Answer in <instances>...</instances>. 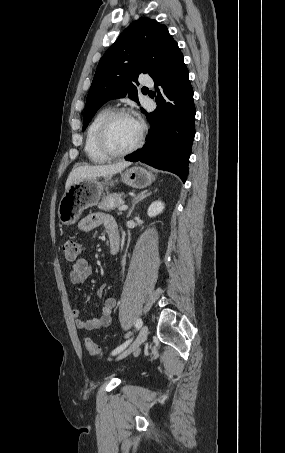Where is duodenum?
I'll return each instance as SVG.
<instances>
[{
    "instance_id": "1",
    "label": "duodenum",
    "mask_w": 285,
    "mask_h": 453,
    "mask_svg": "<svg viewBox=\"0 0 285 453\" xmlns=\"http://www.w3.org/2000/svg\"><path fill=\"white\" fill-rule=\"evenodd\" d=\"M120 242L118 240L110 241V253L115 255L119 250Z\"/></svg>"
}]
</instances>
